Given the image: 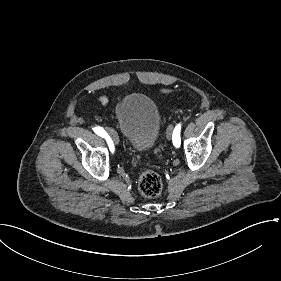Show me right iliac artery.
Listing matches in <instances>:
<instances>
[{"label": "right iliac artery", "instance_id": "right-iliac-artery-1", "mask_svg": "<svg viewBox=\"0 0 281 281\" xmlns=\"http://www.w3.org/2000/svg\"><path fill=\"white\" fill-rule=\"evenodd\" d=\"M94 132L97 135H99L101 137H104L107 140V142H108V144H109V146L111 148V151L114 150V146H113L112 140L110 139L109 135L106 133V131L102 127H95L94 128Z\"/></svg>", "mask_w": 281, "mask_h": 281}]
</instances>
